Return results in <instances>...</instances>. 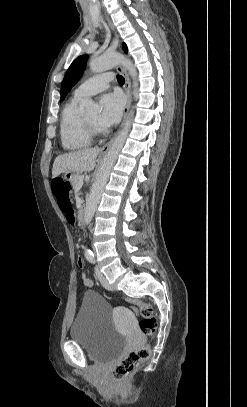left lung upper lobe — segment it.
<instances>
[{"label":"left lung upper lobe","instance_id":"5c2ea615","mask_svg":"<svg viewBox=\"0 0 247 407\" xmlns=\"http://www.w3.org/2000/svg\"><path fill=\"white\" fill-rule=\"evenodd\" d=\"M124 51L127 52L126 44H123ZM88 59L87 55H82L76 58L72 64L70 65L67 73L62 81L61 85V101H63L67 95V93L71 90V88L78 82L81 78L85 68H86V61Z\"/></svg>","mask_w":247,"mask_h":407}]
</instances>
